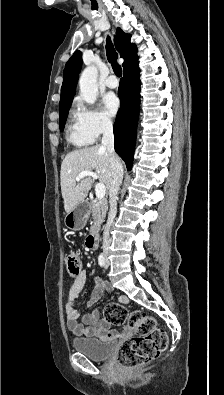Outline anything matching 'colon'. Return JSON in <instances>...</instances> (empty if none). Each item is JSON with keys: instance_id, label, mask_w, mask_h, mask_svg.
I'll use <instances>...</instances> for the list:
<instances>
[{"instance_id": "1", "label": "colon", "mask_w": 224, "mask_h": 395, "mask_svg": "<svg viewBox=\"0 0 224 395\" xmlns=\"http://www.w3.org/2000/svg\"><path fill=\"white\" fill-rule=\"evenodd\" d=\"M82 260L76 253L66 259L67 272L77 276L81 272ZM104 318L113 325L127 324L136 336L123 342L117 349L118 362L127 368H138L156 359L165 350L168 342L166 332L150 316L140 312H129L123 305L108 303Z\"/></svg>"}]
</instances>
